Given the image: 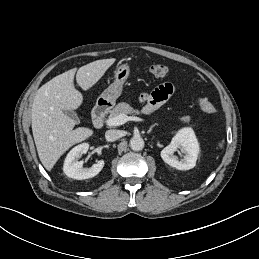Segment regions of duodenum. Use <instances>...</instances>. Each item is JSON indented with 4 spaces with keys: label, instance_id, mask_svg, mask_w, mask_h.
Wrapping results in <instances>:
<instances>
[{
    "label": "duodenum",
    "instance_id": "1",
    "mask_svg": "<svg viewBox=\"0 0 259 259\" xmlns=\"http://www.w3.org/2000/svg\"><path fill=\"white\" fill-rule=\"evenodd\" d=\"M108 110L109 106L107 104H99L94 108L92 118L95 126L99 127L102 125Z\"/></svg>",
    "mask_w": 259,
    "mask_h": 259
}]
</instances>
